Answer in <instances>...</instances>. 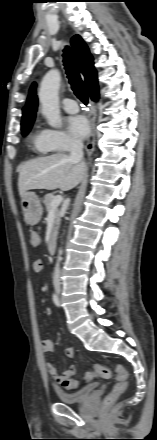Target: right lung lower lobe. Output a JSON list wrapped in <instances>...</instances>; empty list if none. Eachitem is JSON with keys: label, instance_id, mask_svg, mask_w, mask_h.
I'll return each instance as SVG.
<instances>
[{"label": "right lung lower lobe", "instance_id": "right-lung-lower-lobe-1", "mask_svg": "<svg viewBox=\"0 0 157 440\" xmlns=\"http://www.w3.org/2000/svg\"><path fill=\"white\" fill-rule=\"evenodd\" d=\"M98 97H99L98 95H96V96H91L92 100H97Z\"/></svg>", "mask_w": 157, "mask_h": 440}]
</instances>
